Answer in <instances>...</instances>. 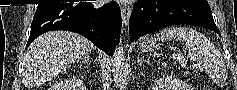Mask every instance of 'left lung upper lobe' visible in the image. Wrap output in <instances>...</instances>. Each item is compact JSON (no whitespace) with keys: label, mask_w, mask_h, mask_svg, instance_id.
I'll return each mask as SVG.
<instances>
[{"label":"left lung upper lobe","mask_w":237,"mask_h":90,"mask_svg":"<svg viewBox=\"0 0 237 90\" xmlns=\"http://www.w3.org/2000/svg\"><path fill=\"white\" fill-rule=\"evenodd\" d=\"M187 1L194 3V4L208 5L207 1H205V0H187Z\"/></svg>","instance_id":"obj_1"}]
</instances>
